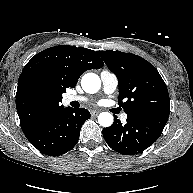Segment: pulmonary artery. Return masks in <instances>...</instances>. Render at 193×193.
Masks as SVG:
<instances>
[{
  "instance_id": "e3ab8cb5",
  "label": "pulmonary artery",
  "mask_w": 193,
  "mask_h": 193,
  "mask_svg": "<svg viewBox=\"0 0 193 193\" xmlns=\"http://www.w3.org/2000/svg\"><path fill=\"white\" fill-rule=\"evenodd\" d=\"M100 79L102 82V89L104 93L111 94L113 93L117 86H118V79L116 75L108 70H104L100 74ZM66 104L71 102H86L87 98L84 96H77V95H68L64 99ZM127 119V114L121 115V120L125 121Z\"/></svg>"
}]
</instances>
